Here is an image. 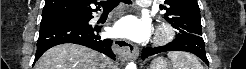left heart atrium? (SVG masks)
I'll return each mask as SVG.
<instances>
[{
  "instance_id": "1",
  "label": "left heart atrium",
  "mask_w": 246,
  "mask_h": 69,
  "mask_svg": "<svg viewBox=\"0 0 246 69\" xmlns=\"http://www.w3.org/2000/svg\"><path fill=\"white\" fill-rule=\"evenodd\" d=\"M149 26L141 18L130 15L120 19L113 27V33L134 41H143L149 35Z\"/></svg>"
}]
</instances>
